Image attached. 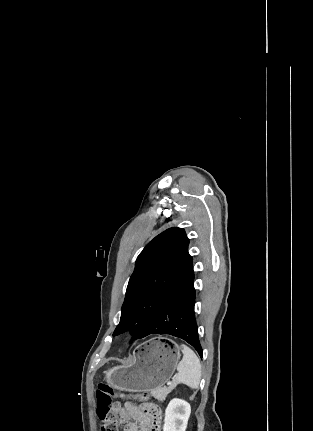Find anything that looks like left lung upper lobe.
<instances>
[{"label":"left lung upper lobe","mask_w":313,"mask_h":431,"mask_svg":"<svg viewBox=\"0 0 313 431\" xmlns=\"http://www.w3.org/2000/svg\"><path fill=\"white\" fill-rule=\"evenodd\" d=\"M189 239L170 228L150 241L136 260L113 335L130 330L137 339L160 309L194 279Z\"/></svg>","instance_id":"obj_1"}]
</instances>
